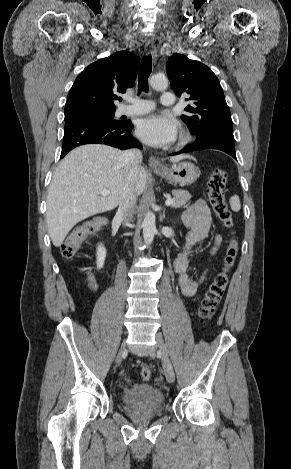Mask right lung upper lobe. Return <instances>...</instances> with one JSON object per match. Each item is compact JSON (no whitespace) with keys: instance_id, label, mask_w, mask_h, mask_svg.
I'll use <instances>...</instances> for the list:
<instances>
[{"instance_id":"cb5924a9","label":"right lung upper lobe","mask_w":291,"mask_h":469,"mask_svg":"<svg viewBox=\"0 0 291 469\" xmlns=\"http://www.w3.org/2000/svg\"><path fill=\"white\" fill-rule=\"evenodd\" d=\"M138 66V58L128 51L117 52L87 66L70 89L65 116L91 110H116V94L134 85Z\"/></svg>"}]
</instances>
